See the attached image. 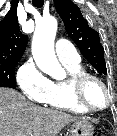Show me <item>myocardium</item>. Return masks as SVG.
Instances as JSON below:
<instances>
[{
    "label": "myocardium",
    "mask_w": 117,
    "mask_h": 136,
    "mask_svg": "<svg viewBox=\"0 0 117 136\" xmlns=\"http://www.w3.org/2000/svg\"><path fill=\"white\" fill-rule=\"evenodd\" d=\"M91 80L99 83L106 93L107 101H106V104L101 108L92 107L85 100L84 90H85L86 84ZM68 83H69L70 92H71L73 100L78 106H80L82 109H84L87 112H90V113L103 112L106 109H108L110 105L112 104L113 95L110 92L107 84L99 76L95 74L85 72V71L71 74L68 77Z\"/></svg>",
    "instance_id": "obj_1"
}]
</instances>
